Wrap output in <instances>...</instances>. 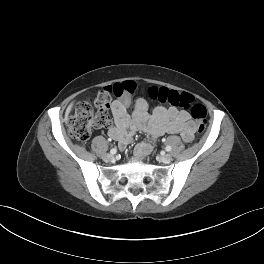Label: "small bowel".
<instances>
[{
  "label": "small bowel",
  "mask_w": 264,
  "mask_h": 264,
  "mask_svg": "<svg viewBox=\"0 0 264 264\" xmlns=\"http://www.w3.org/2000/svg\"><path fill=\"white\" fill-rule=\"evenodd\" d=\"M128 105V99L115 100L112 104L115 124L109 127L108 132L121 149L130 143L133 134L138 130L147 132L153 137L162 134H179L186 143L193 140L196 126L188 112L173 107H158L149 116L147 102L138 98L130 115L127 111ZM151 150V144L142 141L135 146V155L144 158Z\"/></svg>",
  "instance_id": "small-bowel-1"
}]
</instances>
